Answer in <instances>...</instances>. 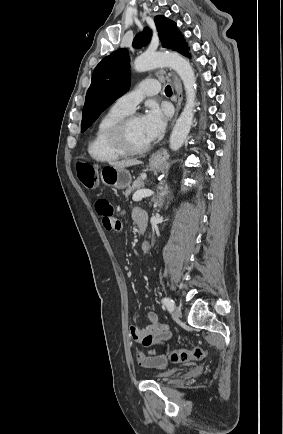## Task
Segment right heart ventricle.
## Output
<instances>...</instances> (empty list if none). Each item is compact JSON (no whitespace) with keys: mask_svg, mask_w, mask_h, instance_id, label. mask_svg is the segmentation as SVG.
I'll return each instance as SVG.
<instances>
[{"mask_svg":"<svg viewBox=\"0 0 283 434\" xmlns=\"http://www.w3.org/2000/svg\"><path fill=\"white\" fill-rule=\"evenodd\" d=\"M129 113L114 105L101 116L88 144V153L93 160L111 163L126 156L112 144L110 132L112 127Z\"/></svg>","mask_w":283,"mask_h":434,"instance_id":"obj_1","label":"right heart ventricle"}]
</instances>
